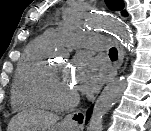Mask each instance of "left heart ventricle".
Instances as JSON below:
<instances>
[{
  "mask_svg": "<svg viewBox=\"0 0 151 131\" xmlns=\"http://www.w3.org/2000/svg\"><path fill=\"white\" fill-rule=\"evenodd\" d=\"M47 93L51 99L61 101L77 93L68 75L65 64H53V72L47 82Z\"/></svg>",
  "mask_w": 151,
  "mask_h": 131,
  "instance_id": "obj_1",
  "label": "left heart ventricle"
}]
</instances>
